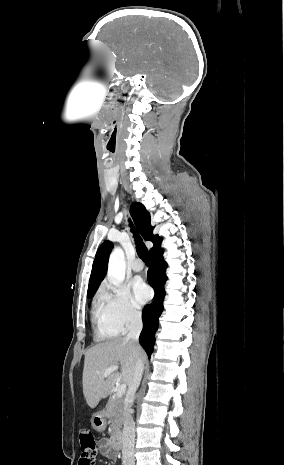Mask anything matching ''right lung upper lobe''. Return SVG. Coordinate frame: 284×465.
<instances>
[{
	"label": "right lung upper lobe",
	"mask_w": 284,
	"mask_h": 465,
	"mask_svg": "<svg viewBox=\"0 0 284 465\" xmlns=\"http://www.w3.org/2000/svg\"><path fill=\"white\" fill-rule=\"evenodd\" d=\"M130 213L142 237L154 244L149 253L159 248L162 238L158 235H153V227L150 224V214L146 211L145 207L141 203L134 202L130 207ZM112 248L113 244L110 241H105L99 247L92 266L87 296L94 295L99 284L104 279L107 272L109 254Z\"/></svg>",
	"instance_id": "1"
}]
</instances>
